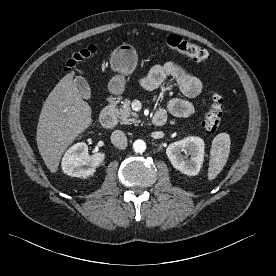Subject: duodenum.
I'll return each instance as SVG.
<instances>
[{"label":"duodenum","mask_w":276,"mask_h":276,"mask_svg":"<svg viewBox=\"0 0 276 276\" xmlns=\"http://www.w3.org/2000/svg\"><path fill=\"white\" fill-rule=\"evenodd\" d=\"M118 100L116 98H110L106 107L103 109L100 122L106 128H112L117 123V115L115 108ZM166 123V114L163 111H158L151 118V124L154 127H162Z\"/></svg>","instance_id":"duodenum-1"}]
</instances>
